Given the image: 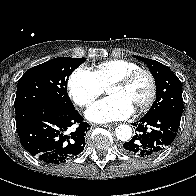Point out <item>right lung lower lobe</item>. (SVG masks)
Here are the masks:
<instances>
[{
	"mask_svg": "<svg viewBox=\"0 0 196 196\" xmlns=\"http://www.w3.org/2000/svg\"><path fill=\"white\" fill-rule=\"evenodd\" d=\"M16 113V127L22 146L47 164L74 159L85 147L89 124L77 110L49 103H36ZM76 124V129L71 127Z\"/></svg>",
	"mask_w": 196,
	"mask_h": 196,
	"instance_id": "right-lung-lower-lobe-1",
	"label": "right lung lower lobe"
}]
</instances>
